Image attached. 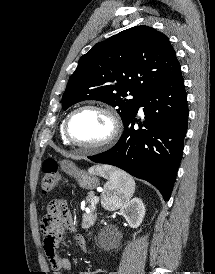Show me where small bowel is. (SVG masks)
Instances as JSON below:
<instances>
[{"mask_svg": "<svg viewBox=\"0 0 215 274\" xmlns=\"http://www.w3.org/2000/svg\"><path fill=\"white\" fill-rule=\"evenodd\" d=\"M41 230L44 252L51 264L53 274L69 271L71 269L69 259L60 256L57 251L66 231L75 233L76 243L83 251L86 250V243L84 237L77 233V225L64 201L56 200L48 206L47 214L41 222ZM100 272H106V270L101 268L94 272H80L79 274H97Z\"/></svg>", "mask_w": 215, "mask_h": 274, "instance_id": "1", "label": "small bowel"}]
</instances>
